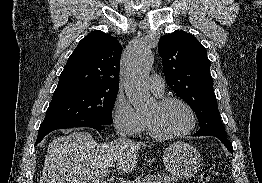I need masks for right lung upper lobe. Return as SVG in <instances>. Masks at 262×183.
<instances>
[{
    "label": "right lung upper lobe",
    "mask_w": 262,
    "mask_h": 183,
    "mask_svg": "<svg viewBox=\"0 0 262 183\" xmlns=\"http://www.w3.org/2000/svg\"><path fill=\"white\" fill-rule=\"evenodd\" d=\"M122 46L100 30L83 38L61 72L56 92L74 89L118 91Z\"/></svg>",
    "instance_id": "cb5924a9"
}]
</instances>
